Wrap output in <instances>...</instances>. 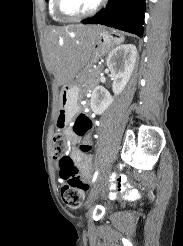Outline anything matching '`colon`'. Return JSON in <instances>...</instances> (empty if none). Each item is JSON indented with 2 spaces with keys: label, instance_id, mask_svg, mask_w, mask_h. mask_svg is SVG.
<instances>
[{
  "label": "colon",
  "instance_id": "1",
  "mask_svg": "<svg viewBox=\"0 0 183 246\" xmlns=\"http://www.w3.org/2000/svg\"><path fill=\"white\" fill-rule=\"evenodd\" d=\"M64 123V117L59 119V124ZM72 130L79 136L91 138L95 135V125L86 114H80L74 121ZM53 155L57 163L59 177L61 179L60 194L63 202L70 208H78L83 202V192L88 189L87 179L80 174L73 159L68 155V149L64 137L60 133L54 135ZM79 152L87 157H94L93 147L87 143H80Z\"/></svg>",
  "mask_w": 183,
  "mask_h": 246
}]
</instances>
